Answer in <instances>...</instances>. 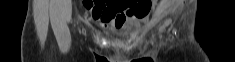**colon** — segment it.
<instances>
[{"instance_id": "1", "label": "colon", "mask_w": 235, "mask_h": 62, "mask_svg": "<svg viewBox=\"0 0 235 62\" xmlns=\"http://www.w3.org/2000/svg\"><path fill=\"white\" fill-rule=\"evenodd\" d=\"M136 1H128V4L131 6H136ZM150 4L148 0H141L138 2L137 8H136V15L137 16H143L147 13L149 10Z\"/></svg>"}]
</instances>
